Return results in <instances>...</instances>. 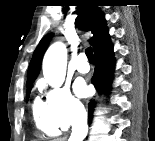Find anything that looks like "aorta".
I'll use <instances>...</instances> for the list:
<instances>
[{
  "label": "aorta",
  "mask_w": 155,
  "mask_h": 141,
  "mask_svg": "<svg viewBox=\"0 0 155 141\" xmlns=\"http://www.w3.org/2000/svg\"><path fill=\"white\" fill-rule=\"evenodd\" d=\"M67 49L61 42L52 44L43 59V75L52 87H60L66 75Z\"/></svg>",
  "instance_id": "762f6f07"
}]
</instances>
